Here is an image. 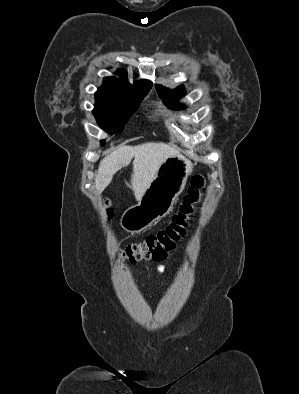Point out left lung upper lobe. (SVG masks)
Returning <instances> with one entry per match:
<instances>
[{"instance_id": "5c2ea615", "label": "left lung upper lobe", "mask_w": 299, "mask_h": 394, "mask_svg": "<svg viewBox=\"0 0 299 394\" xmlns=\"http://www.w3.org/2000/svg\"><path fill=\"white\" fill-rule=\"evenodd\" d=\"M157 91L160 95V97H162L164 99V102L167 106L172 107L173 109H182L184 106L182 105H177L175 103V101L177 99H179L181 96H183L185 89L183 86L177 87L175 90L173 91H169L168 89H166L165 87H162L160 85L157 86ZM172 96V99L170 102L167 101V97L168 95Z\"/></svg>"}]
</instances>
